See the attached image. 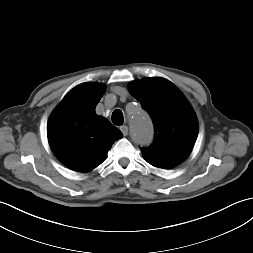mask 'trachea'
<instances>
[{"label": "trachea", "instance_id": "1", "mask_svg": "<svg viewBox=\"0 0 253 253\" xmlns=\"http://www.w3.org/2000/svg\"><path fill=\"white\" fill-rule=\"evenodd\" d=\"M124 121L123 113L120 109L114 110L112 113V122L115 125H122Z\"/></svg>", "mask_w": 253, "mask_h": 253}]
</instances>
